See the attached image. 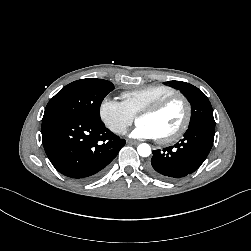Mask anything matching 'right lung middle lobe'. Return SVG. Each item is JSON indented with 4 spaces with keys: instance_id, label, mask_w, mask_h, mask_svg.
Wrapping results in <instances>:
<instances>
[{
    "instance_id": "dd1d6c3e",
    "label": "right lung middle lobe",
    "mask_w": 251,
    "mask_h": 251,
    "mask_svg": "<svg viewBox=\"0 0 251 251\" xmlns=\"http://www.w3.org/2000/svg\"><path fill=\"white\" fill-rule=\"evenodd\" d=\"M114 85L102 79L87 78L63 87L46 106L44 116L55 114L100 120V105Z\"/></svg>"
}]
</instances>
